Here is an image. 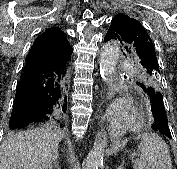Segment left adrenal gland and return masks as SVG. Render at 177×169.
Segmentation results:
<instances>
[{
  "instance_id": "obj_1",
  "label": "left adrenal gland",
  "mask_w": 177,
  "mask_h": 169,
  "mask_svg": "<svg viewBox=\"0 0 177 169\" xmlns=\"http://www.w3.org/2000/svg\"><path fill=\"white\" fill-rule=\"evenodd\" d=\"M123 164H124V160H122V162H121L120 165L117 167V169H123Z\"/></svg>"
}]
</instances>
